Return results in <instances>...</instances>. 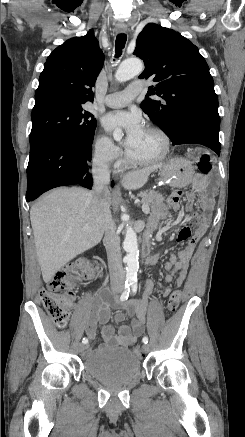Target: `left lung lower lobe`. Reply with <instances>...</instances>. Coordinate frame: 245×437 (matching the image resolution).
<instances>
[{
    "label": "left lung lower lobe",
    "mask_w": 245,
    "mask_h": 437,
    "mask_svg": "<svg viewBox=\"0 0 245 437\" xmlns=\"http://www.w3.org/2000/svg\"><path fill=\"white\" fill-rule=\"evenodd\" d=\"M220 126L204 120L192 121L186 125L179 134L173 145L201 144L211 148L217 155L220 154L219 142Z\"/></svg>",
    "instance_id": "1"
}]
</instances>
